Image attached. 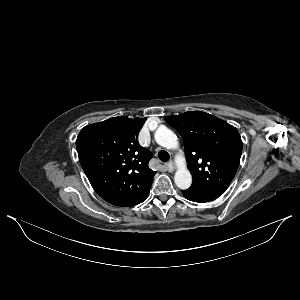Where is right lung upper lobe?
I'll list each match as a JSON object with an SVG mask.
<instances>
[{"instance_id":"obj_1","label":"right lung upper lobe","mask_w":300,"mask_h":300,"mask_svg":"<svg viewBox=\"0 0 300 300\" xmlns=\"http://www.w3.org/2000/svg\"><path fill=\"white\" fill-rule=\"evenodd\" d=\"M145 120L114 117L85 126L77 137L81 166L106 201L151 187L156 173L148 167L152 154L137 141Z\"/></svg>"}]
</instances>
